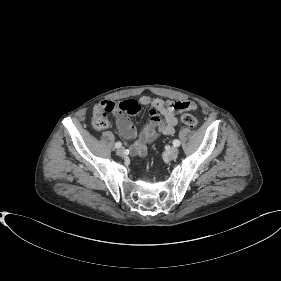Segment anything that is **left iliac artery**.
Returning <instances> with one entry per match:
<instances>
[{"instance_id": "44dca946", "label": "left iliac artery", "mask_w": 281, "mask_h": 281, "mask_svg": "<svg viewBox=\"0 0 281 281\" xmlns=\"http://www.w3.org/2000/svg\"><path fill=\"white\" fill-rule=\"evenodd\" d=\"M180 141L179 140H174L173 141V145L175 146V147H178V146H180Z\"/></svg>"}]
</instances>
